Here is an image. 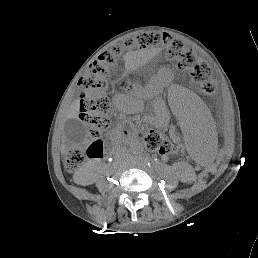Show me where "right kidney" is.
<instances>
[{
    "label": "right kidney",
    "instance_id": "1",
    "mask_svg": "<svg viewBox=\"0 0 258 258\" xmlns=\"http://www.w3.org/2000/svg\"><path fill=\"white\" fill-rule=\"evenodd\" d=\"M95 174L92 173L88 167L81 168L74 174V181L77 184L89 185L95 181Z\"/></svg>",
    "mask_w": 258,
    "mask_h": 258
}]
</instances>
